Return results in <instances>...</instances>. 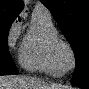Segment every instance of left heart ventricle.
<instances>
[{
    "label": "left heart ventricle",
    "instance_id": "left-heart-ventricle-1",
    "mask_svg": "<svg viewBox=\"0 0 89 89\" xmlns=\"http://www.w3.org/2000/svg\"><path fill=\"white\" fill-rule=\"evenodd\" d=\"M65 57H66V59H69L70 58L68 54H65Z\"/></svg>",
    "mask_w": 89,
    "mask_h": 89
}]
</instances>
